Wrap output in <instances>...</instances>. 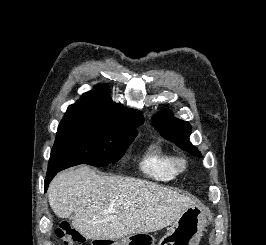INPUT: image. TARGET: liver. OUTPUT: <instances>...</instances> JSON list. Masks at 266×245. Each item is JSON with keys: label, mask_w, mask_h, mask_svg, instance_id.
Masks as SVG:
<instances>
[{"label": "liver", "mask_w": 266, "mask_h": 245, "mask_svg": "<svg viewBox=\"0 0 266 245\" xmlns=\"http://www.w3.org/2000/svg\"><path fill=\"white\" fill-rule=\"evenodd\" d=\"M48 201L60 219L74 213V229L94 241L161 231L189 207H196L191 197L158 183L118 175L102 177L86 165L58 173L49 185ZM104 209L115 213H103Z\"/></svg>", "instance_id": "1"}]
</instances>
